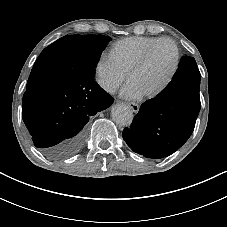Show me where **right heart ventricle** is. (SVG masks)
I'll list each match as a JSON object with an SVG mask.
<instances>
[{
    "instance_id": "right-heart-ventricle-1",
    "label": "right heart ventricle",
    "mask_w": 227,
    "mask_h": 227,
    "mask_svg": "<svg viewBox=\"0 0 227 227\" xmlns=\"http://www.w3.org/2000/svg\"><path fill=\"white\" fill-rule=\"evenodd\" d=\"M158 39L160 38L138 36L123 38L112 46L110 57L128 74L146 48Z\"/></svg>"
}]
</instances>
